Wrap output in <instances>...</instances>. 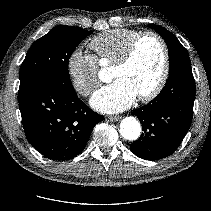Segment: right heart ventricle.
Segmentation results:
<instances>
[{"mask_svg":"<svg viewBox=\"0 0 211 211\" xmlns=\"http://www.w3.org/2000/svg\"><path fill=\"white\" fill-rule=\"evenodd\" d=\"M139 33L135 29H112L92 38L89 45L95 51L97 60L114 64Z\"/></svg>","mask_w":211,"mask_h":211,"instance_id":"1","label":"right heart ventricle"}]
</instances>
